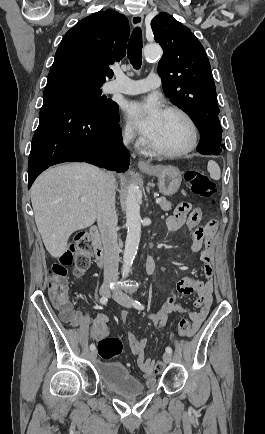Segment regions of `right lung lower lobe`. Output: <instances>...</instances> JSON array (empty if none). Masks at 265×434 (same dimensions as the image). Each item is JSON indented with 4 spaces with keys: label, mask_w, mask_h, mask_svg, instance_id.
Instances as JSON below:
<instances>
[{
    "label": "right lung lower lobe",
    "mask_w": 265,
    "mask_h": 434,
    "mask_svg": "<svg viewBox=\"0 0 265 434\" xmlns=\"http://www.w3.org/2000/svg\"><path fill=\"white\" fill-rule=\"evenodd\" d=\"M39 126L28 161V188L48 167L73 161L87 162L117 172L129 167V153L121 145L118 114L93 116L69 94L45 90Z\"/></svg>",
    "instance_id": "98d812e1"
}]
</instances>
